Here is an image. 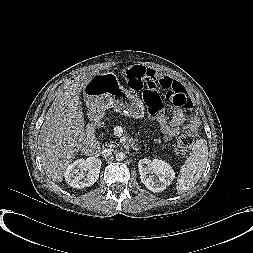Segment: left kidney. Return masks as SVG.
I'll list each match as a JSON object with an SVG mask.
<instances>
[{"mask_svg":"<svg viewBox=\"0 0 253 253\" xmlns=\"http://www.w3.org/2000/svg\"><path fill=\"white\" fill-rule=\"evenodd\" d=\"M138 169L142 183L152 192L165 190L175 177L172 167L159 159H141Z\"/></svg>","mask_w":253,"mask_h":253,"instance_id":"1","label":"left kidney"}]
</instances>
